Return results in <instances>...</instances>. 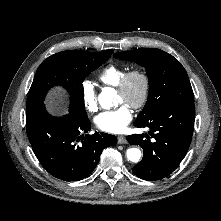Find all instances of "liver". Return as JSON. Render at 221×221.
I'll return each instance as SVG.
<instances>
[{"instance_id":"1","label":"liver","mask_w":221,"mask_h":221,"mask_svg":"<svg viewBox=\"0 0 221 221\" xmlns=\"http://www.w3.org/2000/svg\"><path fill=\"white\" fill-rule=\"evenodd\" d=\"M63 98L62 95H60L57 92H53L49 95L47 100V109L52 114H62L65 112V109L63 107Z\"/></svg>"}]
</instances>
